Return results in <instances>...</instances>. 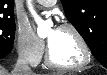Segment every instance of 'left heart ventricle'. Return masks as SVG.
I'll list each match as a JSON object with an SVG mask.
<instances>
[{"instance_id":"1","label":"left heart ventricle","mask_w":107,"mask_h":75,"mask_svg":"<svg viewBox=\"0 0 107 75\" xmlns=\"http://www.w3.org/2000/svg\"><path fill=\"white\" fill-rule=\"evenodd\" d=\"M48 40L55 62L61 65H75L83 60L82 47L72 32L52 30L48 34Z\"/></svg>"}]
</instances>
